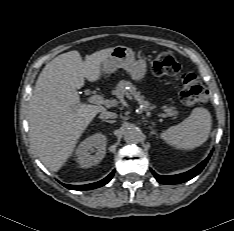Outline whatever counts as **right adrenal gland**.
<instances>
[{
  "instance_id": "2a0ac1e0",
  "label": "right adrenal gland",
  "mask_w": 234,
  "mask_h": 231,
  "mask_svg": "<svg viewBox=\"0 0 234 231\" xmlns=\"http://www.w3.org/2000/svg\"><path fill=\"white\" fill-rule=\"evenodd\" d=\"M102 122L113 123L114 121L103 119Z\"/></svg>"
}]
</instances>
